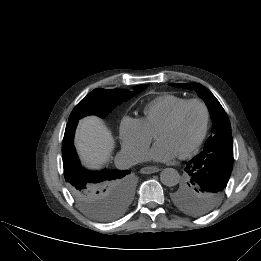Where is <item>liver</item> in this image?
Listing matches in <instances>:
<instances>
[{"label":"liver","mask_w":261,"mask_h":261,"mask_svg":"<svg viewBox=\"0 0 261 261\" xmlns=\"http://www.w3.org/2000/svg\"><path fill=\"white\" fill-rule=\"evenodd\" d=\"M75 146L82 162L90 168L104 165L114 149L112 133L96 116L80 120Z\"/></svg>","instance_id":"liver-1"}]
</instances>
